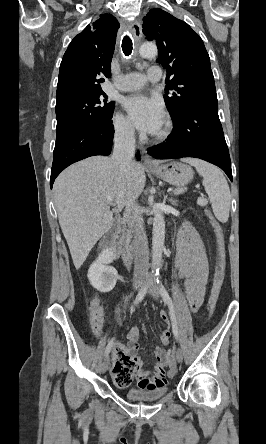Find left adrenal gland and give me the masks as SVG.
Listing matches in <instances>:
<instances>
[{
	"label": "left adrenal gland",
	"instance_id": "1",
	"mask_svg": "<svg viewBox=\"0 0 266 444\" xmlns=\"http://www.w3.org/2000/svg\"><path fill=\"white\" fill-rule=\"evenodd\" d=\"M165 199H167V196H165ZM168 201H169L170 203H172L173 205H177L176 201L173 200L172 198H171V199H168Z\"/></svg>",
	"mask_w": 266,
	"mask_h": 444
}]
</instances>
